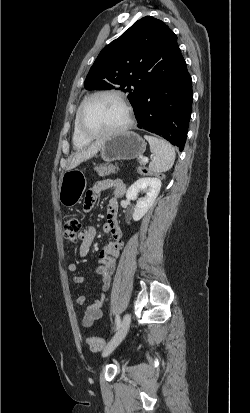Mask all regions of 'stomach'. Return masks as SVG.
<instances>
[{"label":"stomach","instance_id":"1","mask_svg":"<svg viewBox=\"0 0 250 413\" xmlns=\"http://www.w3.org/2000/svg\"><path fill=\"white\" fill-rule=\"evenodd\" d=\"M146 150V142L135 132L127 131L106 138L100 148L104 161L131 160L141 157ZM86 188V179L78 170L67 171L59 187V201L65 207L75 206Z\"/></svg>","mask_w":250,"mask_h":413}]
</instances>
